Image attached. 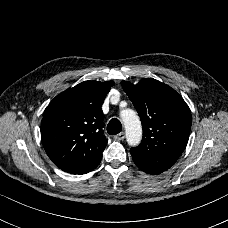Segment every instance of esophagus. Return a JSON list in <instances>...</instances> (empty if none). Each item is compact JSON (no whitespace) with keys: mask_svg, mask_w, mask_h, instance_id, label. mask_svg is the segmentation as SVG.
<instances>
[{"mask_svg":"<svg viewBox=\"0 0 228 228\" xmlns=\"http://www.w3.org/2000/svg\"><path fill=\"white\" fill-rule=\"evenodd\" d=\"M125 138V133L124 132H120L119 134H117L114 139L117 141H121Z\"/></svg>","mask_w":228,"mask_h":228,"instance_id":"obj_1","label":"esophagus"}]
</instances>
